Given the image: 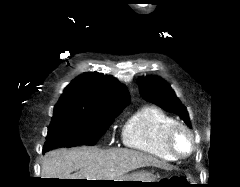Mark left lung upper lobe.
Returning a JSON list of instances; mask_svg holds the SVG:
<instances>
[{"label": "left lung upper lobe", "instance_id": "1", "mask_svg": "<svg viewBox=\"0 0 240 187\" xmlns=\"http://www.w3.org/2000/svg\"><path fill=\"white\" fill-rule=\"evenodd\" d=\"M139 91L142 97L159 105L168 112H173L189 126L190 120L186 108L181 104L172 88L159 77H142L139 82Z\"/></svg>", "mask_w": 240, "mask_h": 187}]
</instances>
